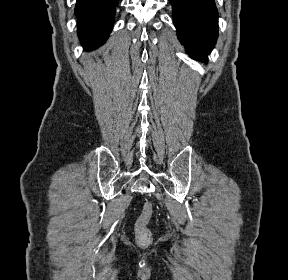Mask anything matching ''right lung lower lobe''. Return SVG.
Here are the masks:
<instances>
[{
	"label": "right lung lower lobe",
	"instance_id": "98d812e1",
	"mask_svg": "<svg viewBox=\"0 0 288 280\" xmlns=\"http://www.w3.org/2000/svg\"><path fill=\"white\" fill-rule=\"evenodd\" d=\"M119 0H77L78 36L84 50L101 46L114 24Z\"/></svg>",
	"mask_w": 288,
	"mask_h": 280
}]
</instances>
